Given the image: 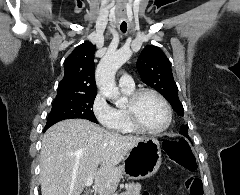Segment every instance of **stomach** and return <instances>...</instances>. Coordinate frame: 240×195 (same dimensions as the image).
<instances>
[{
    "label": "stomach",
    "mask_w": 240,
    "mask_h": 195,
    "mask_svg": "<svg viewBox=\"0 0 240 195\" xmlns=\"http://www.w3.org/2000/svg\"><path fill=\"white\" fill-rule=\"evenodd\" d=\"M157 137H144L123 159V173L130 179H146L158 171L162 157Z\"/></svg>",
    "instance_id": "0dacf381"
}]
</instances>
